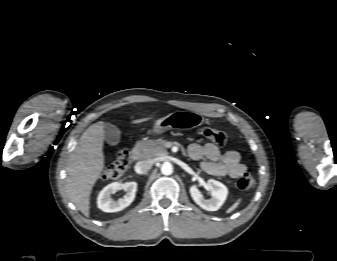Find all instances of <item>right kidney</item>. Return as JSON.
<instances>
[{
	"instance_id": "obj_1",
	"label": "right kidney",
	"mask_w": 337,
	"mask_h": 261,
	"mask_svg": "<svg viewBox=\"0 0 337 261\" xmlns=\"http://www.w3.org/2000/svg\"><path fill=\"white\" fill-rule=\"evenodd\" d=\"M123 189L126 191V194L123 198L118 201L111 199V194H114L116 191ZM137 191L136 182H127L124 184L114 182L106 187L99 193L97 198V206L104 212H118L128 207L134 200L135 194Z\"/></svg>"
}]
</instances>
